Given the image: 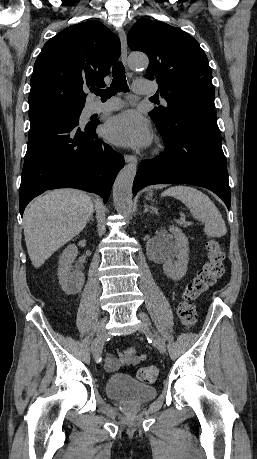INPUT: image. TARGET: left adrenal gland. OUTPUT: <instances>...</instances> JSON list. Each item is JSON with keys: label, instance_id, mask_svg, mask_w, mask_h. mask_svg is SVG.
Segmentation results:
<instances>
[{"label": "left adrenal gland", "instance_id": "obj_1", "mask_svg": "<svg viewBox=\"0 0 257 459\" xmlns=\"http://www.w3.org/2000/svg\"><path fill=\"white\" fill-rule=\"evenodd\" d=\"M146 212H154V213L157 214V213H158V210H157V208H155V207H150V206H148V205H145V206H144V213H146Z\"/></svg>", "mask_w": 257, "mask_h": 459}]
</instances>
